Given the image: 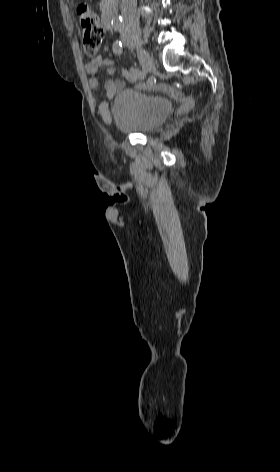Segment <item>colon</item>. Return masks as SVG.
<instances>
[{
	"instance_id": "obj_1",
	"label": "colon",
	"mask_w": 280,
	"mask_h": 472,
	"mask_svg": "<svg viewBox=\"0 0 280 472\" xmlns=\"http://www.w3.org/2000/svg\"><path fill=\"white\" fill-rule=\"evenodd\" d=\"M77 15L83 33L84 51L88 55H94L105 36V29L96 13L87 4H80L77 7Z\"/></svg>"
}]
</instances>
